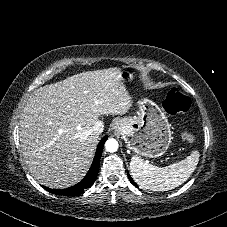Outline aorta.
Here are the masks:
<instances>
[{
	"mask_svg": "<svg viewBox=\"0 0 227 227\" xmlns=\"http://www.w3.org/2000/svg\"><path fill=\"white\" fill-rule=\"evenodd\" d=\"M105 148L108 152H116L118 150V142L117 140L111 138V139H108L105 143Z\"/></svg>",
	"mask_w": 227,
	"mask_h": 227,
	"instance_id": "762f6f07",
	"label": "aorta"
}]
</instances>
